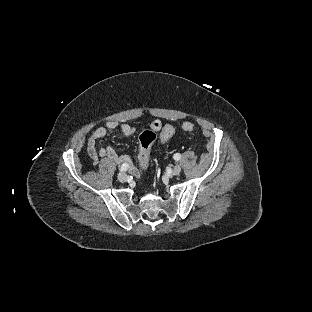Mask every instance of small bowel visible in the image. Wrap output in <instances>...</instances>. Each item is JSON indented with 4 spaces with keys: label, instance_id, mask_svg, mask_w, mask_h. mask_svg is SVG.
<instances>
[{
    "label": "small bowel",
    "instance_id": "obj_1",
    "mask_svg": "<svg viewBox=\"0 0 312 312\" xmlns=\"http://www.w3.org/2000/svg\"><path fill=\"white\" fill-rule=\"evenodd\" d=\"M115 129H119L125 138H131L136 132V127L134 125L119 121H109L104 126L96 128L87 142V152L94 163H98L100 159L105 157H108L117 163L130 162L128 157L117 154L112 147L97 148V142L105 137L108 131ZM129 172L134 177H137L139 174L138 169L133 165H130Z\"/></svg>",
    "mask_w": 312,
    "mask_h": 312
}]
</instances>
